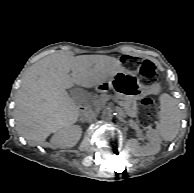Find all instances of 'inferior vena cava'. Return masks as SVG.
<instances>
[{
	"label": "inferior vena cava",
	"mask_w": 194,
	"mask_h": 193,
	"mask_svg": "<svg viewBox=\"0 0 194 193\" xmlns=\"http://www.w3.org/2000/svg\"><path fill=\"white\" fill-rule=\"evenodd\" d=\"M97 117V112L93 110H88L83 117V120L90 121L92 119H95Z\"/></svg>",
	"instance_id": "obj_1"
}]
</instances>
